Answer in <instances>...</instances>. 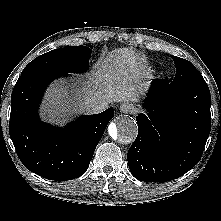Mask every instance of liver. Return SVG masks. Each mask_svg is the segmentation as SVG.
<instances>
[{
  "mask_svg": "<svg viewBox=\"0 0 221 221\" xmlns=\"http://www.w3.org/2000/svg\"><path fill=\"white\" fill-rule=\"evenodd\" d=\"M96 68L75 92L64 84H52L42 104L43 115L64 123L78 113L90 114L95 101L108 103L136 101L145 76L144 59L132 49L118 48L100 58Z\"/></svg>",
  "mask_w": 221,
  "mask_h": 221,
  "instance_id": "6515ba94",
  "label": "liver"
}]
</instances>
